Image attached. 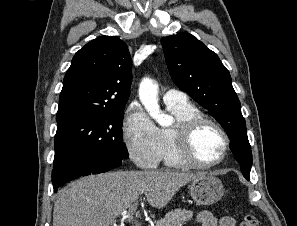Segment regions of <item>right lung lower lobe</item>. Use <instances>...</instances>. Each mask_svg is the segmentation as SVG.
<instances>
[{
	"label": "right lung lower lobe",
	"instance_id": "98d812e1",
	"mask_svg": "<svg viewBox=\"0 0 297 226\" xmlns=\"http://www.w3.org/2000/svg\"><path fill=\"white\" fill-rule=\"evenodd\" d=\"M122 158L97 151H77L55 155L52 170L54 192L80 176L98 174L119 167Z\"/></svg>",
	"mask_w": 297,
	"mask_h": 226
}]
</instances>
